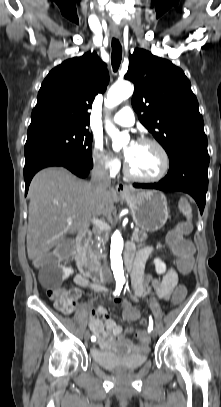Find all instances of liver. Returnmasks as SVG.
<instances>
[{
    "label": "liver",
    "instance_id": "obj_1",
    "mask_svg": "<svg viewBox=\"0 0 221 407\" xmlns=\"http://www.w3.org/2000/svg\"><path fill=\"white\" fill-rule=\"evenodd\" d=\"M28 196L27 253L35 260L60 245L66 234L86 228L93 218L110 217L116 193L106 190L97 196L91 183L63 167H50L33 177Z\"/></svg>",
    "mask_w": 221,
    "mask_h": 407
}]
</instances>
